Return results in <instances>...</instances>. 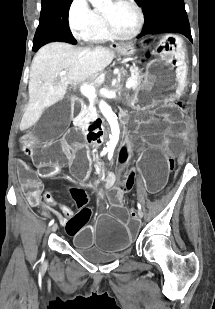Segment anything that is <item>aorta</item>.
Wrapping results in <instances>:
<instances>
[{
	"instance_id": "aorta-1",
	"label": "aorta",
	"mask_w": 215,
	"mask_h": 309,
	"mask_svg": "<svg viewBox=\"0 0 215 309\" xmlns=\"http://www.w3.org/2000/svg\"><path fill=\"white\" fill-rule=\"evenodd\" d=\"M90 2L92 6H95V8H109V6H111L112 4V0H90ZM99 108L103 116L107 118L111 126L112 136L109 142H107V146L108 148H115L119 140V134H120V128H119L118 120L116 118V114L115 112H113L111 106H109V104L105 102V100H100Z\"/></svg>"
}]
</instances>
